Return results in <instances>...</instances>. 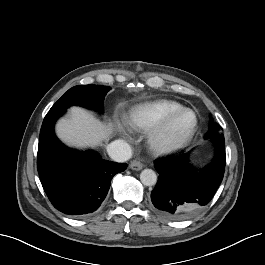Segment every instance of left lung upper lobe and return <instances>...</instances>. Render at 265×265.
<instances>
[{
	"instance_id": "5c2ea615",
	"label": "left lung upper lobe",
	"mask_w": 265,
	"mask_h": 265,
	"mask_svg": "<svg viewBox=\"0 0 265 265\" xmlns=\"http://www.w3.org/2000/svg\"><path fill=\"white\" fill-rule=\"evenodd\" d=\"M221 129L219 125H215L214 123H210V129L206 138H218L224 140V136L220 134L218 131Z\"/></svg>"
}]
</instances>
